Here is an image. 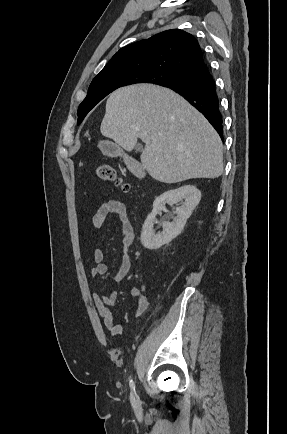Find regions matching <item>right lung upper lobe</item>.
I'll return each mask as SVG.
<instances>
[{
    "mask_svg": "<svg viewBox=\"0 0 287 434\" xmlns=\"http://www.w3.org/2000/svg\"><path fill=\"white\" fill-rule=\"evenodd\" d=\"M203 62L196 38L185 31L172 29L121 48L93 80L146 71L182 75Z\"/></svg>",
    "mask_w": 287,
    "mask_h": 434,
    "instance_id": "1",
    "label": "right lung upper lobe"
}]
</instances>
